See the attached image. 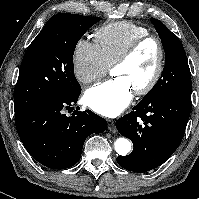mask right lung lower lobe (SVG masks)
Masks as SVG:
<instances>
[{
	"mask_svg": "<svg viewBox=\"0 0 199 199\" xmlns=\"http://www.w3.org/2000/svg\"><path fill=\"white\" fill-rule=\"evenodd\" d=\"M79 95L42 103L15 117L18 135L28 153L48 168L75 165L86 138L107 127L106 120L90 110L75 111L71 117L63 114V109L76 103Z\"/></svg>",
	"mask_w": 199,
	"mask_h": 199,
	"instance_id": "98d812e1",
	"label": "right lung lower lobe"
}]
</instances>
